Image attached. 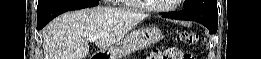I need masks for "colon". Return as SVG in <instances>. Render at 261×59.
I'll use <instances>...</instances> for the list:
<instances>
[{
	"instance_id": "obj_1",
	"label": "colon",
	"mask_w": 261,
	"mask_h": 59,
	"mask_svg": "<svg viewBox=\"0 0 261 59\" xmlns=\"http://www.w3.org/2000/svg\"><path fill=\"white\" fill-rule=\"evenodd\" d=\"M181 39L189 44L195 45L198 43V36L192 32L183 31L181 33ZM188 54L181 53L176 47H169L163 50H156L150 54V59H191Z\"/></svg>"
}]
</instances>
